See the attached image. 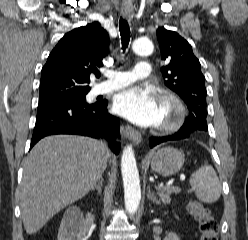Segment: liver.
Listing matches in <instances>:
<instances>
[{
    "mask_svg": "<svg viewBox=\"0 0 248 240\" xmlns=\"http://www.w3.org/2000/svg\"><path fill=\"white\" fill-rule=\"evenodd\" d=\"M110 152L104 143L73 135L48 136L24 161L20 185L23 224L37 233L56 213L93 189Z\"/></svg>",
    "mask_w": 248,
    "mask_h": 240,
    "instance_id": "6515ba94",
    "label": "liver"
}]
</instances>
